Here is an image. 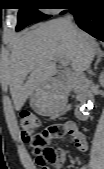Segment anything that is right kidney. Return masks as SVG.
I'll return each mask as SVG.
<instances>
[{"instance_id": "1", "label": "right kidney", "mask_w": 104, "mask_h": 169, "mask_svg": "<svg viewBox=\"0 0 104 169\" xmlns=\"http://www.w3.org/2000/svg\"><path fill=\"white\" fill-rule=\"evenodd\" d=\"M99 81H100L101 84L103 83V81H104V72H102L100 74Z\"/></svg>"}]
</instances>
